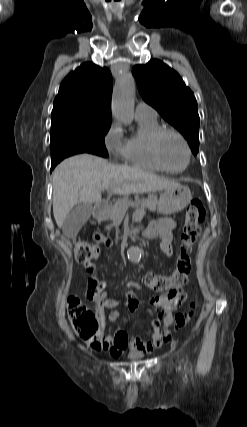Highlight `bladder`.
Listing matches in <instances>:
<instances>
[{
    "instance_id": "1",
    "label": "bladder",
    "mask_w": 247,
    "mask_h": 427,
    "mask_svg": "<svg viewBox=\"0 0 247 427\" xmlns=\"http://www.w3.org/2000/svg\"><path fill=\"white\" fill-rule=\"evenodd\" d=\"M143 357H144V353L140 351H135L128 354V358L133 361L140 360Z\"/></svg>"
}]
</instances>
